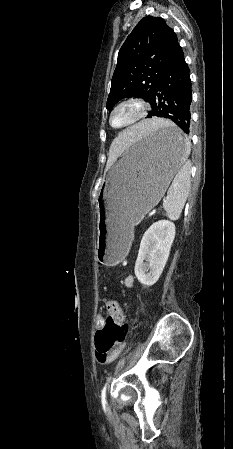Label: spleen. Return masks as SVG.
<instances>
[{
    "label": "spleen",
    "instance_id": "1",
    "mask_svg": "<svg viewBox=\"0 0 233 449\" xmlns=\"http://www.w3.org/2000/svg\"><path fill=\"white\" fill-rule=\"evenodd\" d=\"M189 152L190 143L188 142L187 151H185L186 159L178 169L168 189L167 198L163 202V208L171 220H177L180 217L190 191V164L187 162Z\"/></svg>",
    "mask_w": 233,
    "mask_h": 449
}]
</instances>
